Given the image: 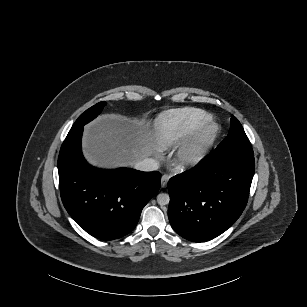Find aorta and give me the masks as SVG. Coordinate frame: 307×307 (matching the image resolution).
<instances>
[{"instance_id":"aorta-1","label":"aorta","mask_w":307,"mask_h":307,"mask_svg":"<svg viewBox=\"0 0 307 307\" xmlns=\"http://www.w3.org/2000/svg\"><path fill=\"white\" fill-rule=\"evenodd\" d=\"M170 201V197L168 194L161 193L157 196V202L159 205H167Z\"/></svg>"}]
</instances>
